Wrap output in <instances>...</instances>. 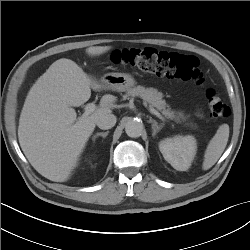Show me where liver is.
<instances>
[{"label":"liver","mask_w":250,"mask_h":250,"mask_svg":"<svg viewBox=\"0 0 250 250\" xmlns=\"http://www.w3.org/2000/svg\"><path fill=\"white\" fill-rule=\"evenodd\" d=\"M111 48L92 46L86 53L99 56ZM91 89L105 88L74 61L61 58L38 78L26 97L19 119V143L34 169L51 181L69 179L98 118L112 112L116 98L104 95L99 108L77 119L72 107L87 102Z\"/></svg>","instance_id":"obj_1"}]
</instances>
